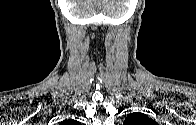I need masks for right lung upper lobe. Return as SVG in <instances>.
I'll return each instance as SVG.
<instances>
[{"mask_svg": "<svg viewBox=\"0 0 196 125\" xmlns=\"http://www.w3.org/2000/svg\"><path fill=\"white\" fill-rule=\"evenodd\" d=\"M73 121H71V120H67V121H65L64 123H66V124H69V123H72Z\"/></svg>", "mask_w": 196, "mask_h": 125, "instance_id": "obj_1", "label": "right lung upper lobe"}]
</instances>
